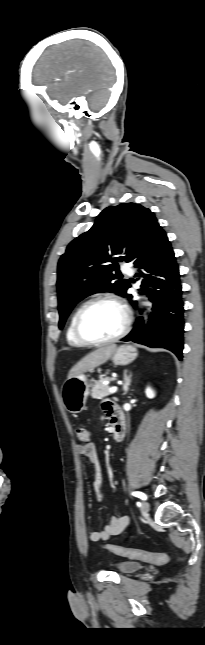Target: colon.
Segmentation results:
<instances>
[{"label": "colon", "mask_w": 205, "mask_h": 645, "mask_svg": "<svg viewBox=\"0 0 205 645\" xmlns=\"http://www.w3.org/2000/svg\"><path fill=\"white\" fill-rule=\"evenodd\" d=\"M75 433H76L78 442L82 447H86L90 444L91 433L86 427L77 426L75 429ZM106 548L109 551L120 556L132 558V559H140V560L152 562L155 564H164L168 560V556L165 553L148 552L145 550L126 548L118 545H108Z\"/></svg>", "instance_id": "colon-1"}]
</instances>
